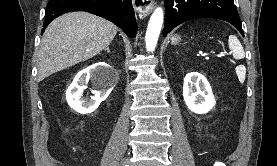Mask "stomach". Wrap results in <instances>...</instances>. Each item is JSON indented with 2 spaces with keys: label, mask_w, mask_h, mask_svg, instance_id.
<instances>
[{
  "label": "stomach",
  "mask_w": 277,
  "mask_h": 166,
  "mask_svg": "<svg viewBox=\"0 0 277 166\" xmlns=\"http://www.w3.org/2000/svg\"><path fill=\"white\" fill-rule=\"evenodd\" d=\"M180 41H181V37L179 35H174L171 37V43L174 45L180 43Z\"/></svg>",
  "instance_id": "obj_1"
}]
</instances>
